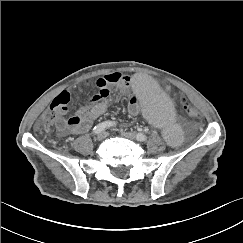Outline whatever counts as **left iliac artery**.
I'll return each mask as SVG.
<instances>
[{
    "mask_svg": "<svg viewBox=\"0 0 243 243\" xmlns=\"http://www.w3.org/2000/svg\"><path fill=\"white\" fill-rule=\"evenodd\" d=\"M136 138L138 141H146L147 136L144 133H137Z\"/></svg>",
    "mask_w": 243,
    "mask_h": 243,
    "instance_id": "obj_1",
    "label": "left iliac artery"
}]
</instances>
